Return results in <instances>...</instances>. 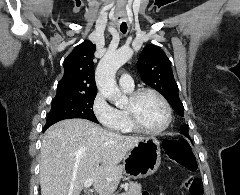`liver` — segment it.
Segmentation results:
<instances>
[{"mask_svg": "<svg viewBox=\"0 0 240 195\" xmlns=\"http://www.w3.org/2000/svg\"><path fill=\"white\" fill-rule=\"evenodd\" d=\"M144 137L108 131L89 119H62L48 127L40 149L41 195H80L87 179L100 195L116 191L119 165Z\"/></svg>", "mask_w": 240, "mask_h": 195, "instance_id": "1", "label": "liver"}]
</instances>
